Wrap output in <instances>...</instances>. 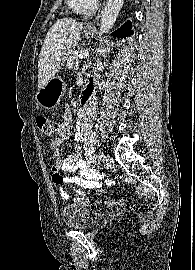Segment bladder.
I'll return each instance as SVG.
<instances>
[{
  "label": "bladder",
  "instance_id": "31cf9c89",
  "mask_svg": "<svg viewBox=\"0 0 195 270\" xmlns=\"http://www.w3.org/2000/svg\"><path fill=\"white\" fill-rule=\"evenodd\" d=\"M61 216L66 227L89 230L99 219V212L87 204H73L63 208Z\"/></svg>",
  "mask_w": 195,
  "mask_h": 270
}]
</instances>
